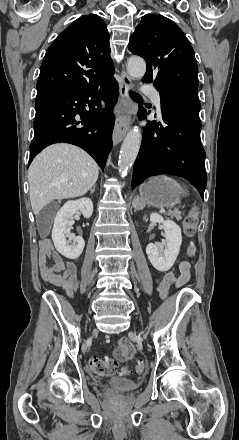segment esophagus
Wrapping results in <instances>:
<instances>
[{"label":"esophagus","instance_id":"esophagus-1","mask_svg":"<svg viewBox=\"0 0 239 440\" xmlns=\"http://www.w3.org/2000/svg\"><path fill=\"white\" fill-rule=\"evenodd\" d=\"M123 84L120 86V95L122 98H128L129 89L132 87V80L125 71L121 74ZM132 112H124L116 117L113 130V142L118 144L125 137L131 122Z\"/></svg>","mask_w":239,"mask_h":440}]
</instances>
